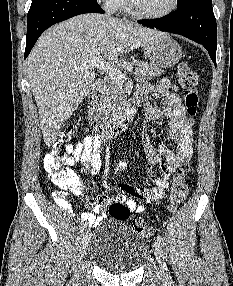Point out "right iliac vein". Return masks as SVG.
<instances>
[{
    "label": "right iliac vein",
    "mask_w": 233,
    "mask_h": 286,
    "mask_svg": "<svg viewBox=\"0 0 233 286\" xmlns=\"http://www.w3.org/2000/svg\"><path fill=\"white\" fill-rule=\"evenodd\" d=\"M89 240H90L89 231L83 232L81 235V240H80V253L82 257L85 253L86 247L88 246Z\"/></svg>",
    "instance_id": "63e3f726"
}]
</instances>
